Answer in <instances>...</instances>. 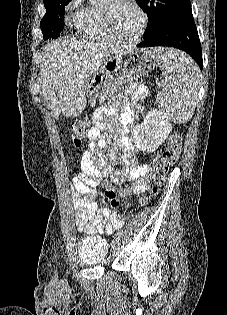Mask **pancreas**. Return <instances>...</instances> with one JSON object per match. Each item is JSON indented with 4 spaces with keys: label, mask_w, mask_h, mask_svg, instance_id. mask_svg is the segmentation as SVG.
I'll return each instance as SVG.
<instances>
[{
    "label": "pancreas",
    "mask_w": 227,
    "mask_h": 315,
    "mask_svg": "<svg viewBox=\"0 0 227 315\" xmlns=\"http://www.w3.org/2000/svg\"><path fill=\"white\" fill-rule=\"evenodd\" d=\"M143 69L141 67H133L130 71L127 69L123 70L122 73L117 75H109L106 77L102 91L99 92V97L108 98L112 97L117 93L123 84L132 82L139 78V75L142 73Z\"/></svg>",
    "instance_id": "1"
}]
</instances>
